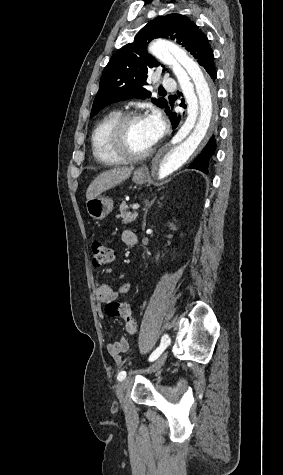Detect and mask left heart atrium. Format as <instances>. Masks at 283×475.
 <instances>
[{"label":"left heart atrium","mask_w":283,"mask_h":475,"mask_svg":"<svg viewBox=\"0 0 283 475\" xmlns=\"http://www.w3.org/2000/svg\"><path fill=\"white\" fill-rule=\"evenodd\" d=\"M148 122L152 128V137L155 141H158L164 134L165 121L164 117L159 110L154 109L148 116Z\"/></svg>","instance_id":"left-heart-atrium-1"}]
</instances>
